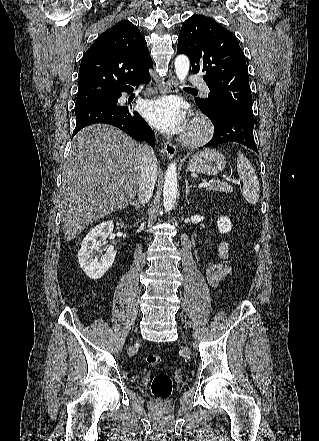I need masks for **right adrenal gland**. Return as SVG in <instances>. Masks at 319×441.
<instances>
[{
    "label": "right adrenal gland",
    "instance_id": "2a0ac1e0",
    "mask_svg": "<svg viewBox=\"0 0 319 441\" xmlns=\"http://www.w3.org/2000/svg\"><path fill=\"white\" fill-rule=\"evenodd\" d=\"M140 201H134V202H132L131 204H132V206L134 207V208H136V209H138V208H140Z\"/></svg>",
    "mask_w": 319,
    "mask_h": 441
}]
</instances>
